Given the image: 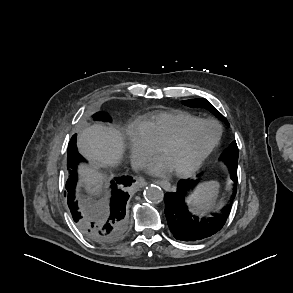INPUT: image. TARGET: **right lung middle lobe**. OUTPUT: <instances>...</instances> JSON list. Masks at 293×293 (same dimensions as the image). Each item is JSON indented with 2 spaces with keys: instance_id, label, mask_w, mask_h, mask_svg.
Segmentation results:
<instances>
[{
  "instance_id": "obj_1",
  "label": "right lung middle lobe",
  "mask_w": 293,
  "mask_h": 293,
  "mask_svg": "<svg viewBox=\"0 0 293 293\" xmlns=\"http://www.w3.org/2000/svg\"><path fill=\"white\" fill-rule=\"evenodd\" d=\"M94 120H103V121H109V117L102 113H96L93 115Z\"/></svg>"
}]
</instances>
